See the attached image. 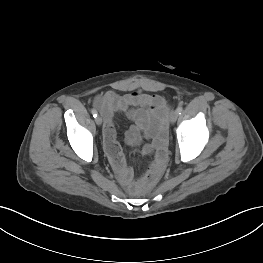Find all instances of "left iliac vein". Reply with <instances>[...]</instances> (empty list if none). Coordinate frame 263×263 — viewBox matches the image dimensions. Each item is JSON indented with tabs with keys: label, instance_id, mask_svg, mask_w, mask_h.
<instances>
[{
	"label": "left iliac vein",
	"instance_id": "1",
	"mask_svg": "<svg viewBox=\"0 0 263 263\" xmlns=\"http://www.w3.org/2000/svg\"><path fill=\"white\" fill-rule=\"evenodd\" d=\"M179 116V113L177 112V110L175 111H172L171 114H170V122L171 123H175L177 118Z\"/></svg>",
	"mask_w": 263,
	"mask_h": 263
}]
</instances>
